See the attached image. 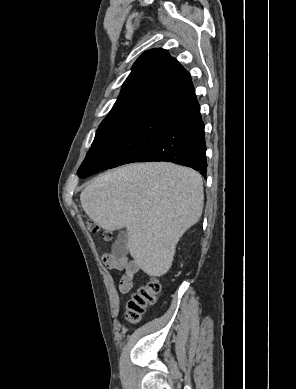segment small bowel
Returning <instances> with one entry per match:
<instances>
[{
  "mask_svg": "<svg viewBox=\"0 0 296 389\" xmlns=\"http://www.w3.org/2000/svg\"><path fill=\"white\" fill-rule=\"evenodd\" d=\"M106 266L110 269L123 270L124 274L119 283V290L121 293H127L133 287L134 279L139 271V265L134 260H129L126 256L116 257L107 254L104 257Z\"/></svg>",
  "mask_w": 296,
  "mask_h": 389,
  "instance_id": "c3829d8e",
  "label": "small bowel"
}]
</instances>
